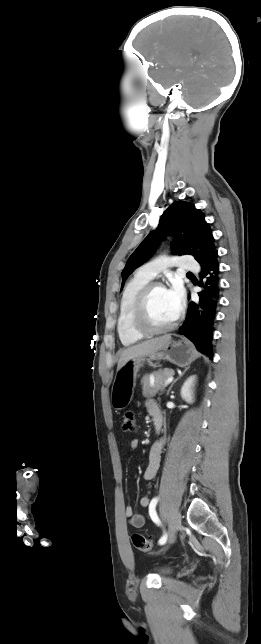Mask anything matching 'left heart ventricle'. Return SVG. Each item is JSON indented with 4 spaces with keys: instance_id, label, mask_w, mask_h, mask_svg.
<instances>
[{
    "instance_id": "obj_1",
    "label": "left heart ventricle",
    "mask_w": 261,
    "mask_h": 644,
    "mask_svg": "<svg viewBox=\"0 0 261 644\" xmlns=\"http://www.w3.org/2000/svg\"><path fill=\"white\" fill-rule=\"evenodd\" d=\"M176 312L166 289L156 288L147 305V319L154 327H163L176 318Z\"/></svg>"
}]
</instances>
